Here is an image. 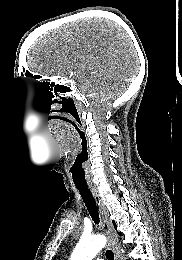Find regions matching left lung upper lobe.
<instances>
[{
  "mask_svg": "<svg viewBox=\"0 0 182 260\" xmlns=\"http://www.w3.org/2000/svg\"><path fill=\"white\" fill-rule=\"evenodd\" d=\"M113 225H114V226H115V228H116V224H115V222H113ZM118 234H119V235H121V233H120V232H118Z\"/></svg>",
  "mask_w": 182,
  "mask_h": 260,
  "instance_id": "5c2ea615",
  "label": "left lung upper lobe"
}]
</instances>
